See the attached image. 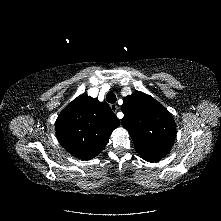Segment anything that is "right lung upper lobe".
<instances>
[{
    "mask_svg": "<svg viewBox=\"0 0 221 221\" xmlns=\"http://www.w3.org/2000/svg\"><path fill=\"white\" fill-rule=\"evenodd\" d=\"M119 125L107 103L80 95L59 114L55 129L59 142L70 154L89 160L105 148Z\"/></svg>",
    "mask_w": 221,
    "mask_h": 221,
    "instance_id": "1",
    "label": "right lung upper lobe"
}]
</instances>
